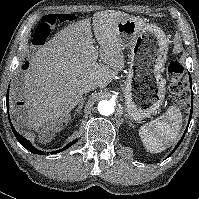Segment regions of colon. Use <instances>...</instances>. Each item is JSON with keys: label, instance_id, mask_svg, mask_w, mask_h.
<instances>
[{"label": "colon", "instance_id": "colon-1", "mask_svg": "<svg viewBox=\"0 0 199 199\" xmlns=\"http://www.w3.org/2000/svg\"><path fill=\"white\" fill-rule=\"evenodd\" d=\"M71 15L69 14H48L38 25L34 38L36 42H44L46 37L50 34L54 26L58 22H69ZM184 68L178 60H171L167 66V73L169 78V91L172 93L175 102L178 105L185 104V95L180 83V78L183 74Z\"/></svg>", "mask_w": 199, "mask_h": 199}]
</instances>
